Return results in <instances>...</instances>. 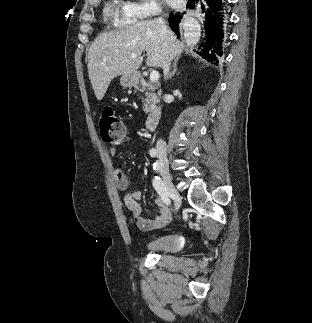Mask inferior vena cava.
Listing matches in <instances>:
<instances>
[{
	"mask_svg": "<svg viewBox=\"0 0 312 323\" xmlns=\"http://www.w3.org/2000/svg\"><path fill=\"white\" fill-rule=\"evenodd\" d=\"M155 22H156V24H159V26H161V30H162L163 34H167V36H172V32H169L168 26H166V24L164 22V18H157V20H155ZM170 62H171V60H167V62H165L164 66H163L164 76H167V74L169 72ZM156 148H162V150H165V152H166V142H164V140H158V142H156Z\"/></svg>",
	"mask_w": 312,
	"mask_h": 323,
	"instance_id": "inferior-vena-cava-1",
	"label": "inferior vena cava"
}]
</instances>
